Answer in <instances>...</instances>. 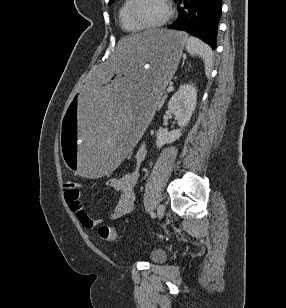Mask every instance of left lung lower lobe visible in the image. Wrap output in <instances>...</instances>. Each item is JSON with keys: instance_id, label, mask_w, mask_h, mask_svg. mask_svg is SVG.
Listing matches in <instances>:
<instances>
[{"instance_id": "obj_1", "label": "left lung lower lobe", "mask_w": 286, "mask_h": 308, "mask_svg": "<svg viewBox=\"0 0 286 308\" xmlns=\"http://www.w3.org/2000/svg\"><path fill=\"white\" fill-rule=\"evenodd\" d=\"M184 4V7L178 6V18L168 28L186 31L215 50L222 0H190L189 3L184 0Z\"/></svg>"}]
</instances>
